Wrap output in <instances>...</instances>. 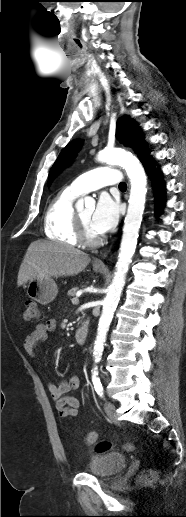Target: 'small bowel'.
Instances as JSON below:
<instances>
[{
    "label": "small bowel",
    "mask_w": 186,
    "mask_h": 517,
    "mask_svg": "<svg viewBox=\"0 0 186 517\" xmlns=\"http://www.w3.org/2000/svg\"><path fill=\"white\" fill-rule=\"evenodd\" d=\"M56 329V321L49 319L44 323H39L29 332L24 340L23 348L25 353L32 359L36 358L37 346L43 342L47 335ZM80 387V379L78 376H72L68 380L47 383V388L55 402L58 414L61 417H75L80 408V402L77 398L67 395L68 392L76 390ZM97 439V433L93 432ZM87 437V436H86ZM87 443V442H86Z\"/></svg>",
    "instance_id": "small-bowel-1"
}]
</instances>
